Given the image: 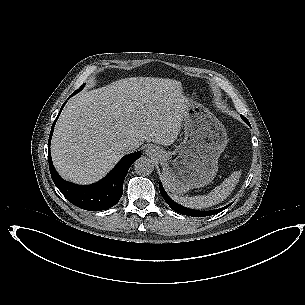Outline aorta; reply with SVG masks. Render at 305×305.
Instances as JSON below:
<instances>
[{"label": "aorta", "instance_id": "aorta-1", "mask_svg": "<svg viewBox=\"0 0 305 305\" xmlns=\"http://www.w3.org/2000/svg\"><path fill=\"white\" fill-rule=\"evenodd\" d=\"M134 170L139 175H149L154 171V163L151 159L143 156L135 161Z\"/></svg>", "mask_w": 305, "mask_h": 305}]
</instances>
